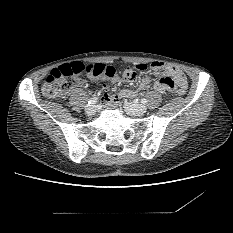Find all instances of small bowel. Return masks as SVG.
<instances>
[{
  "mask_svg": "<svg viewBox=\"0 0 233 233\" xmlns=\"http://www.w3.org/2000/svg\"><path fill=\"white\" fill-rule=\"evenodd\" d=\"M140 64H137L136 66H139ZM154 73L155 72H164L166 81L163 79H160L157 81L154 85V89L159 93H164L166 91L174 92L177 90V88H185L187 86V79L184 75V73L173 65H165L160 62H154L152 64ZM120 77L117 75V73L110 79H102L101 84L104 89L107 88L108 83L110 81L116 82L119 81ZM152 80V74H146L144 75L140 82L139 86L140 88H145L149 85V83ZM136 95V91L130 90V89H122L117 93H114L112 95L106 94L104 97V100L107 103H116L121 99H127V98H133Z\"/></svg>",
  "mask_w": 233,
  "mask_h": 233,
  "instance_id": "obj_1",
  "label": "small bowel"
}]
</instances>
